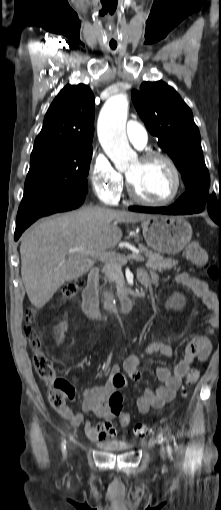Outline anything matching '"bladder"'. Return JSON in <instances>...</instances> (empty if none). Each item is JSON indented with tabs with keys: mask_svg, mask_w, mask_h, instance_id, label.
<instances>
[{
	"mask_svg": "<svg viewBox=\"0 0 221 510\" xmlns=\"http://www.w3.org/2000/svg\"><path fill=\"white\" fill-rule=\"evenodd\" d=\"M101 447L111 452H123L131 449V445L123 442H104Z\"/></svg>",
	"mask_w": 221,
	"mask_h": 510,
	"instance_id": "1",
	"label": "bladder"
}]
</instances>
